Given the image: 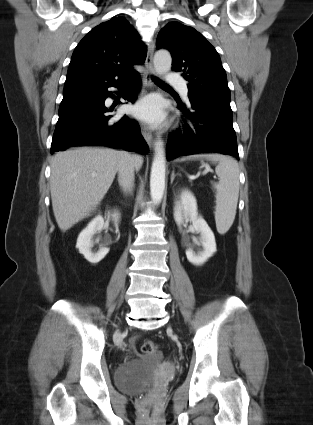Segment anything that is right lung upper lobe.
<instances>
[{
	"mask_svg": "<svg viewBox=\"0 0 313 425\" xmlns=\"http://www.w3.org/2000/svg\"><path fill=\"white\" fill-rule=\"evenodd\" d=\"M147 47L138 32L120 16L93 28L75 48L65 83L126 79L136 73L132 65L144 63Z\"/></svg>",
	"mask_w": 313,
	"mask_h": 425,
	"instance_id": "cb5924a9",
	"label": "right lung upper lobe"
}]
</instances>
